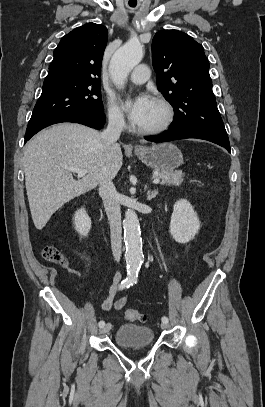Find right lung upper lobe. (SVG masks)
<instances>
[{
  "label": "right lung upper lobe",
  "instance_id": "right-lung-upper-lobe-1",
  "mask_svg": "<svg viewBox=\"0 0 265 407\" xmlns=\"http://www.w3.org/2000/svg\"><path fill=\"white\" fill-rule=\"evenodd\" d=\"M108 32L103 25L88 23L65 35L54 50L50 77L99 80Z\"/></svg>",
  "mask_w": 265,
  "mask_h": 407
}]
</instances>
